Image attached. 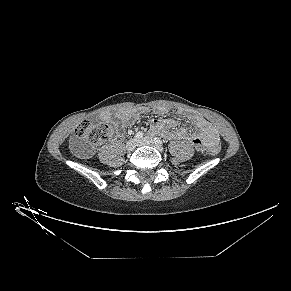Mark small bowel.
Listing matches in <instances>:
<instances>
[{
	"label": "small bowel",
	"mask_w": 291,
	"mask_h": 291,
	"mask_svg": "<svg viewBox=\"0 0 291 291\" xmlns=\"http://www.w3.org/2000/svg\"><path fill=\"white\" fill-rule=\"evenodd\" d=\"M155 113H165L166 108L156 107ZM143 113L142 109H123L113 116L111 113L104 112L100 118L104 121H112L117 126L126 127L134 123ZM189 118L197 126V130L188 133L183 127L178 128L174 132H170L169 128L177 126V120L174 118L152 119L150 128L152 132L159 133L167 139H187L197 150H205L206 148L218 143L219 137L216 130L200 115L190 114Z\"/></svg>",
	"instance_id": "obj_1"
}]
</instances>
